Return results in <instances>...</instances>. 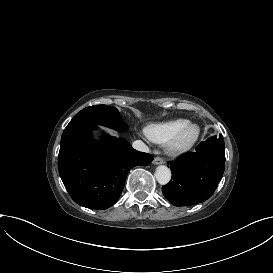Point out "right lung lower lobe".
I'll return each instance as SVG.
<instances>
[{
    "label": "right lung lower lobe",
    "instance_id": "1",
    "mask_svg": "<svg viewBox=\"0 0 273 273\" xmlns=\"http://www.w3.org/2000/svg\"><path fill=\"white\" fill-rule=\"evenodd\" d=\"M96 124H68L63 131L58 170L66 190L79 205L107 209L115 204L128 172L146 166L153 155L138 152L123 138L108 137L95 142L90 136Z\"/></svg>",
    "mask_w": 273,
    "mask_h": 273
}]
</instances>
